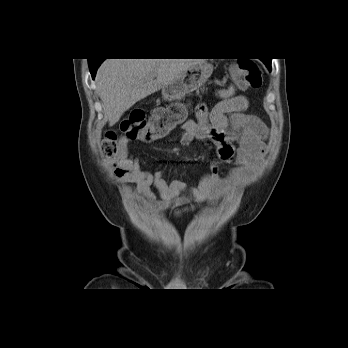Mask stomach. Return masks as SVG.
<instances>
[{
  "label": "stomach",
  "mask_w": 348,
  "mask_h": 348,
  "mask_svg": "<svg viewBox=\"0 0 348 348\" xmlns=\"http://www.w3.org/2000/svg\"><path fill=\"white\" fill-rule=\"evenodd\" d=\"M212 72L213 66L205 61L191 66L162 88L164 100L174 101L183 99L188 93L204 85Z\"/></svg>",
  "instance_id": "stomach-1"
}]
</instances>
